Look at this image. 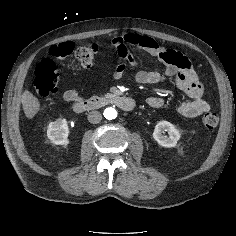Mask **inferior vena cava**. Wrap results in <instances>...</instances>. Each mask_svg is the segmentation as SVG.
<instances>
[{"label": "inferior vena cava", "mask_w": 236, "mask_h": 236, "mask_svg": "<svg viewBox=\"0 0 236 236\" xmlns=\"http://www.w3.org/2000/svg\"><path fill=\"white\" fill-rule=\"evenodd\" d=\"M102 120V115L98 111H91L88 114V121L92 124H97Z\"/></svg>", "instance_id": "602c4592"}]
</instances>
